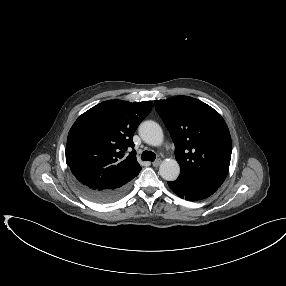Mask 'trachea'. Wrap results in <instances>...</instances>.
Here are the masks:
<instances>
[{"mask_svg": "<svg viewBox=\"0 0 286 286\" xmlns=\"http://www.w3.org/2000/svg\"><path fill=\"white\" fill-rule=\"evenodd\" d=\"M156 155L152 151H144L141 155L142 160L154 161Z\"/></svg>", "mask_w": 286, "mask_h": 286, "instance_id": "trachea-1", "label": "trachea"}]
</instances>
